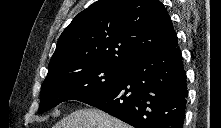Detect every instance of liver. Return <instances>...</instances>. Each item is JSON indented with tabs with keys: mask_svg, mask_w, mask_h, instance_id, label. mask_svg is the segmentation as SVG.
<instances>
[{
	"mask_svg": "<svg viewBox=\"0 0 221 128\" xmlns=\"http://www.w3.org/2000/svg\"><path fill=\"white\" fill-rule=\"evenodd\" d=\"M54 128H131L130 125L96 108L76 110L61 119Z\"/></svg>",
	"mask_w": 221,
	"mask_h": 128,
	"instance_id": "obj_1",
	"label": "liver"
}]
</instances>
